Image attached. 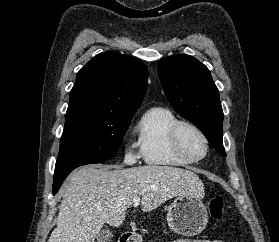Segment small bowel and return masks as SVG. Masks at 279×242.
Returning a JSON list of instances; mask_svg holds the SVG:
<instances>
[{"label": "small bowel", "instance_id": "c3829d8e", "mask_svg": "<svg viewBox=\"0 0 279 242\" xmlns=\"http://www.w3.org/2000/svg\"><path fill=\"white\" fill-rule=\"evenodd\" d=\"M173 242H227L224 239H213V240H188V239H181L176 240Z\"/></svg>", "mask_w": 279, "mask_h": 242}]
</instances>
